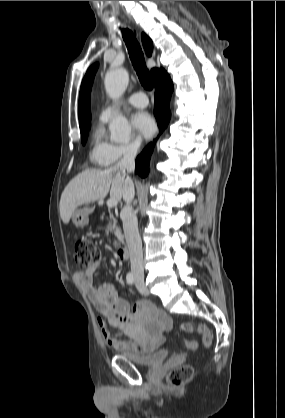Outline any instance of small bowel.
Instances as JSON below:
<instances>
[{
  "mask_svg": "<svg viewBox=\"0 0 285 418\" xmlns=\"http://www.w3.org/2000/svg\"><path fill=\"white\" fill-rule=\"evenodd\" d=\"M104 262L105 258L100 257L97 262L76 273L77 280L98 313L97 323L103 337L118 351H146L158 348L165 341V333L172 329L171 317L148 302H139L131 310L112 284L104 282L95 285L94 273ZM111 328L118 329L129 340L113 336ZM187 347L196 350L198 344L195 340H190Z\"/></svg>",
  "mask_w": 285,
  "mask_h": 418,
  "instance_id": "small-bowel-1",
  "label": "small bowel"
}]
</instances>
